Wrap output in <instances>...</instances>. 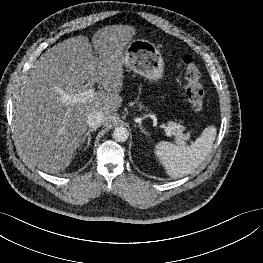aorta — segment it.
<instances>
[{
  "label": "aorta",
  "mask_w": 263,
  "mask_h": 263,
  "mask_svg": "<svg viewBox=\"0 0 263 263\" xmlns=\"http://www.w3.org/2000/svg\"><path fill=\"white\" fill-rule=\"evenodd\" d=\"M129 137V132L125 127H116L113 131V138L118 142H125Z\"/></svg>",
  "instance_id": "1"
}]
</instances>
